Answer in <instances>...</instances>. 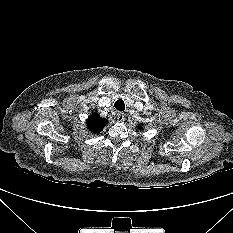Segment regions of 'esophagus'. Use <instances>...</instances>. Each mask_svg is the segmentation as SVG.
<instances>
[{"mask_svg":"<svg viewBox=\"0 0 233 233\" xmlns=\"http://www.w3.org/2000/svg\"><path fill=\"white\" fill-rule=\"evenodd\" d=\"M116 118H117L118 122H122V121L125 120V114L124 113H118Z\"/></svg>","mask_w":233,"mask_h":233,"instance_id":"obj_1","label":"esophagus"}]
</instances>
